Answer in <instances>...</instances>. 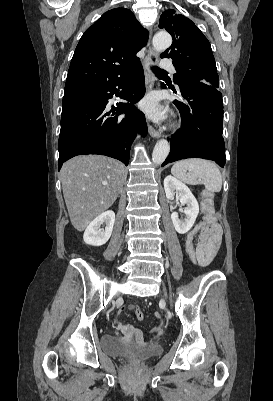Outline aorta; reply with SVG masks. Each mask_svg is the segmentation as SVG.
I'll return each instance as SVG.
<instances>
[{
    "mask_svg": "<svg viewBox=\"0 0 273 401\" xmlns=\"http://www.w3.org/2000/svg\"><path fill=\"white\" fill-rule=\"evenodd\" d=\"M153 48L157 53L163 52L172 44V37L167 32L161 31L155 34L152 40ZM170 151V145L167 140H159L152 153V161L156 165H160L165 161Z\"/></svg>",
    "mask_w": 273,
    "mask_h": 401,
    "instance_id": "762f6f07",
    "label": "aorta"
}]
</instances>
